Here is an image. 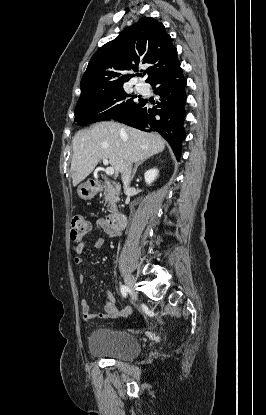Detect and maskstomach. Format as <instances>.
<instances>
[{"label":"stomach","mask_w":266,"mask_h":415,"mask_svg":"<svg viewBox=\"0 0 266 415\" xmlns=\"http://www.w3.org/2000/svg\"><path fill=\"white\" fill-rule=\"evenodd\" d=\"M77 193L81 199L90 200L96 195L97 189L90 182H85L78 186Z\"/></svg>","instance_id":"1"}]
</instances>
